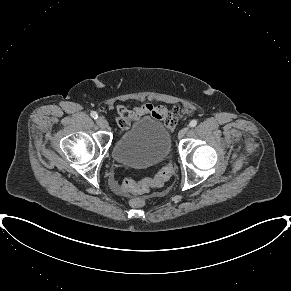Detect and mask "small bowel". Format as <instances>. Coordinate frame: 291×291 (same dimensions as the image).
Masks as SVG:
<instances>
[{
  "instance_id": "obj_1",
  "label": "small bowel",
  "mask_w": 291,
  "mask_h": 291,
  "mask_svg": "<svg viewBox=\"0 0 291 291\" xmlns=\"http://www.w3.org/2000/svg\"><path fill=\"white\" fill-rule=\"evenodd\" d=\"M150 116L164 123L167 129L173 130L181 118V108L175 106L167 109L164 106H154L150 103L128 109L123 105L116 107V121L121 131L127 130L140 117Z\"/></svg>"
}]
</instances>
